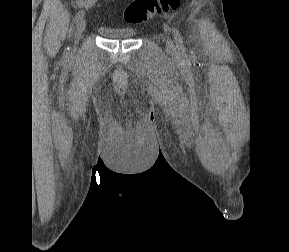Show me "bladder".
<instances>
[{"label":"bladder","mask_w":289,"mask_h":252,"mask_svg":"<svg viewBox=\"0 0 289 252\" xmlns=\"http://www.w3.org/2000/svg\"><path fill=\"white\" fill-rule=\"evenodd\" d=\"M98 33L106 39L127 40L135 37L136 32L131 28H112L100 26L97 29Z\"/></svg>","instance_id":"31cf9c89"}]
</instances>
